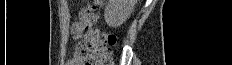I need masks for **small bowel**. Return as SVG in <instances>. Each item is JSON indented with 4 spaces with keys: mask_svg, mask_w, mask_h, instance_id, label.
I'll return each instance as SVG.
<instances>
[{
    "mask_svg": "<svg viewBox=\"0 0 232 65\" xmlns=\"http://www.w3.org/2000/svg\"><path fill=\"white\" fill-rule=\"evenodd\" d=\"M85 31V23L84 20L80 17V19L72 25V33L74 40H80ZM67 65H86L85 57L82 56L79 51L78 47L72 58L68 61Z\"/></svg>",
    "mask_w": 232,
    "mask_h": 65,
    "instance_id": "obj_1",
    "label": "small bowel"
}]
</instances>
